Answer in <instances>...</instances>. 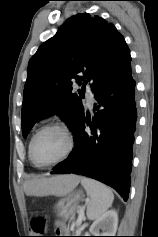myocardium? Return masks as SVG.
<instances>
[{"label": "myocardium", "mask_w": 158, "mask_h": 237, "mask_svg": "<svg viewBox=\"0 0 158 237\" xmlns=\"http://www.w3.org/2000/svg\"><path fill=\"white\" fill-rule=\"evenodd\" d=\"M49 129H59L66 135L67 148H66L65 152L59 158H57L51 162L41 164V163L37 162L34 158L33 146H34V142H35L36 138L42 132L49 130ZM74 146H75V138H74V134H73L72 130L70 129V127L63 122H51V123H48V124L42 126L41 128H39L35 132V134L32 136V138L30 140V144H29V158L35 167L40 168V169L49 168V167H52V166L64 161L66 158H68L69 155L72 153Z\"/></svg>", "instance_id": "obj_1"}]
</instances>
